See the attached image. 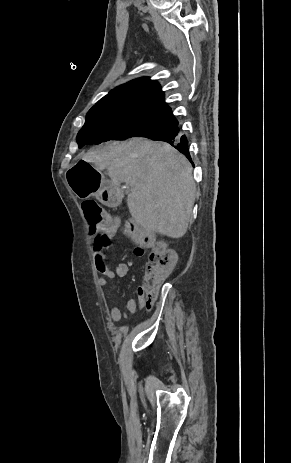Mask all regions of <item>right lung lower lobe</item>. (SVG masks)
<instances>
[{"label": "right lung lower lobe", "mask_w": 291, "mask_h": 463, "mask_svg": "<svg viewBox=\"0 0 291 463\" xmlns=\"http://www.w3.org/2000/svg\"><path fill=\"white\" fill-rule=\"evenodd\" d=\"M166 121L169 123V126L166 129L146 136V138L169 143L191 161V156L188 149V140L185 135H180V129L177 126V120L173 117L172 119Z\"/></svg>", "instance_id": "obj_1"}]
</instances>
